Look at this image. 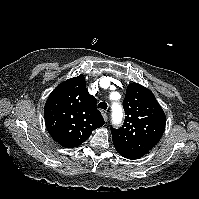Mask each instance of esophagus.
I'll return each mask as SVG.
<instances>
[{
  "mask_svg": "<svg viewBox=\"0 0 199 199\" xmlns=\"http://www.w3.org/2000/svg\"><path fill=\"white\" fill-rule=\"evenodd\" d=\"M102 116H103L104 120L107 121L108 116H107L106 112L103 111V112H102Z\"/></svg>",
  "mask_w": 199,
  "mask_h": 199,
  "instance_id": "1",
  "label": "esophagus"
}]
</instances>
